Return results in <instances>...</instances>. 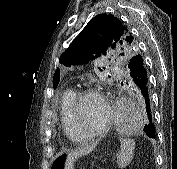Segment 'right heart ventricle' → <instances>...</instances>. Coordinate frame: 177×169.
I'll list each match as a JSON object with an SVG mask.
<instances>
[{
	"mask_svg": "<svg viewBox=\"0 0 177 169\" xmlns=\"http://www.w3.org/2000/svg\"><path fill=\"white\" fill-rule=\"evenodd\" d=\"M75 97V90L68 88L63 92L60 101V119L63 133L69 140L74 142L77 140L75 139V133L71 122L70 111Z\"/></svg>",
	"mask_w": 177,
	"mask_h": 169,
	"instance_id": "obj_1",
	"label": "right heart ventricle"
}]
</instances>
